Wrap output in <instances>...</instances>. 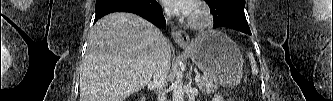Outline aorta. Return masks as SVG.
<instances>
[{
    "instance_id": "762f6f07",
    "label": "aorta",
    "mask_w": 333,
    "mask_h": 101,
    "mask_svg": "<svg viewBox=\"0 0 333 101\" xmlns=\"http://www.w3.org/2000/svg\"><path fill=\"white\" fill-rule=\"evenodd\" d=\"M182 72L178 71L176 75V79L172 84L173 94L172 101H184V89L182 84Z\"/></svg>"
}]
</instances>
